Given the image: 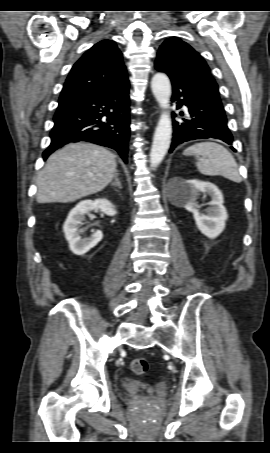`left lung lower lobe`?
<instances>
[{"label": "left lung lower lobe", "instance_id": "1", "mask_svg": "<svg viewBox=\"0 0 270 453\" xmlns=\"http://www.w3.org/2000/svg\"><path fill=\"white\" fill-rule=\"evenodd\" d=\"M155 67L168 74L161 67ZM168 76L173 87L172 100H178L177 109L185 105L189 110V119H183L182 122L173 121L174 132L169 152L171 153L179 144L195 139L212 138L232 145L233 137L227 126L221 100L185 85L170 74ZM231 149L235 151L233 147Z\"/></svg>", "mask_w": 270, "mask_h": 453}]
</instances>
